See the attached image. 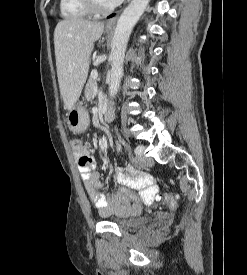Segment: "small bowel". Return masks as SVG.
<instances>
[{"mask_svg": "<svg viewBox=\"0 0 247 275\" xmlns=\"http://www.w3.org/2000/svg\"><path fill=\"white\" fill-rule=\"evenodd\" d=\"M85 156V161H82L77 155L78 167L89 197L99 213L110 215L138 212L140 210L139 205L119 193L102 192L104 185L100 174L96 171L97 163L87 150H85ZM115 177L121 186L137 190L144 204L151 205L159 200L158 187L153 183L151 177L140 173L134 167L117 168Z\"/></svg>", "mask_w": 247, "mask_h": 275, "instance_id": "1", "label": "small bowel"}]
</instances>
